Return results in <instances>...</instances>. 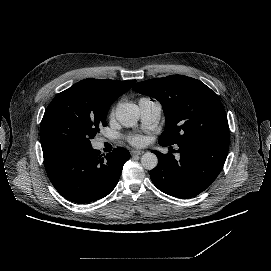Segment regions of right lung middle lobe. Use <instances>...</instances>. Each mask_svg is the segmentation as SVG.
<instances>
[{
    "mask_svg": "<svg viewBox=\"0 0 271 271\" xmlns=\"http://www.w3.org/2000/svg\"><path fill=\"white\" fill-rule=\"evenodd\" d=\"M107 113L88 109L68 92L56 95L46 108L40 127L42 150L61 145L91 146L101 126H106Z\"/></svg>",
    "mask_w": 271,
    "mask_h": 271,
    "instance_id": "1",
    "label": "right lung middle lobe"
}]
</instances>
